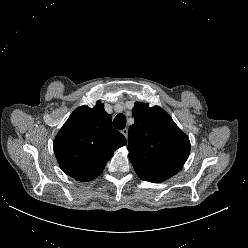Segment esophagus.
<instances>
[{"instance_id":"esophagus-1","label":"esophagus","mask_w":248,"mask_h":248,"mask_svg":"<svg viewBox=\"0 0 248 248\" xmlns=\"http://www.w3.org/2000/svg\"><path fill=\"white\" fill-rule=\"evenodd\" d=\"M121 133L127 138V136H128V129L125 128V129L121 130Z\"/></svg>"}]
</instances>
